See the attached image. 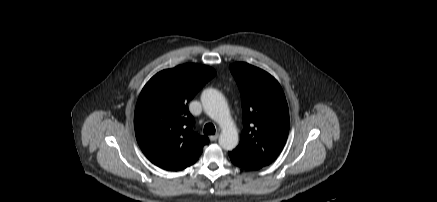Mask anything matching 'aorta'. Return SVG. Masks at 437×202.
I'll return each instance as SVG.
<instances>
[{"label": "aorta", "instance_id": "1", "mask_svg": "<svg viewBox=\"0 0 437 202\" xmlns=\"http://www.w3.org/2000/svg\"><path fill=\"white\" fill-rule=\"evenodd\" d=\"M201 102L207 115L216 121L222 129L219 145L227 151L238 145V132L231 120L228 104L218 90L205 89L201 95Z\"/></svg>", "mask_w": 437, "mask_h": 202}]
</instances>
